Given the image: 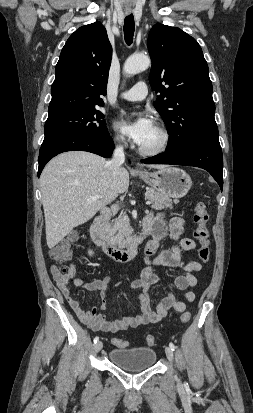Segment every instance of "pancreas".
<instances>
[{
	"instance_id": "1",
	"label": "pancreas",
	"mask_w": 253,
	"mask_h": 413,
	"mask_svg": "<svg viewBox=\"0 0 253 413\" xmlns=\"http://www.w3.org/2000/svg\"><path fill=\"white\" fill-rule=\"evenodd\" d=\"M145 197L153 202L152 208L155 210H161L164 208H173V202L178 203V200H172L169 196L148 188L145 193ZM106 231L110 236L112 243L118 247L125 245V238L131 233V227L129 225L128 217L125 213L121 212L119 217L112 223L107 224Z\"/></svg>"
}]
</instances>
